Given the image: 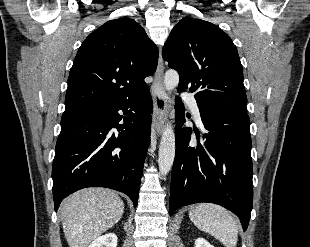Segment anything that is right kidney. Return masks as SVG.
I'll return each instance as SVG.
<instances>
[{
  "label": "right kidney",
  "mask_w": 310,
  "mask_h": 247,
  "mask_svg": "<svg viewBox=\"0 0 310 247\" xmlns=\"http://www.w3.org/2000/svg\"><path fill=\"white\" fill-rule=\"evenodd\" d=\"M117 236L114 233H107L96 238L88 247H117Z\"/></svg>",
  "instance_id": "1"
}]
</instances>
